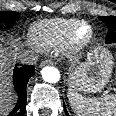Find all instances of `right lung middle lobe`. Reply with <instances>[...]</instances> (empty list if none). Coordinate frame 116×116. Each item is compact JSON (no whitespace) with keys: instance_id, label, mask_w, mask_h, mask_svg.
Here are the masks:
<instances>
[{"instance_id":"right-lung-middle-lobe-1","label":"right lung middle lobe","mask_w":116,"mask_h":116,"mask_svg":"<svg viewBox=\"0 0 116 116\" xmlns=\"http://www.w3.org/2000/svg\"><path fill=\"white\" fill-rule=\"evenodd\" d=\"M19 17L20 15L18 12H0V24L5 23L11 26L19 19Z\"/></svg>"}]
</instances>
